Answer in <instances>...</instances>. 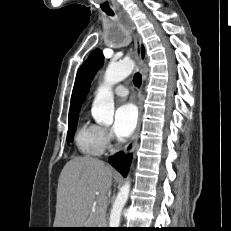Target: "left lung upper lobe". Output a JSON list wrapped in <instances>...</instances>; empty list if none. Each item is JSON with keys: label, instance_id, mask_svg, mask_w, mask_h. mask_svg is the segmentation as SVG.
Returning a JSON list of instances; mask_svg holds the SVG:
<instances>
[{"label": "left lung upper lobe", "instance_id": "left-lung-upper-lobe-1", "mask_svg": "<svg viewBox=\"0 0 231 231\" xmlns=\"http://www.w3.org/2000/svg\"><path fill=\"white\" fill-rule=\"evenodd\" d=\"M103 60H104L103 53L100 49H96L90 54L85 68L82 100L87 95L90 88V83L92 82L98 69L101 67Z\"/></svg>", "mask_w": 231, "mask_h": 231}]
</instances>
